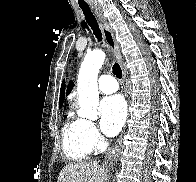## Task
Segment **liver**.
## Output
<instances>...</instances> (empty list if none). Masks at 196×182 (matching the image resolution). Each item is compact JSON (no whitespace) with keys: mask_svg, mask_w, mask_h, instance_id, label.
Wrapping results in <instances>:
<instances>
[{"mask_svg":"<svg viewBox=\"0 0 196 182\" xmlns=\"http://www.w3.org/2000/svg\"><path fill=\"white\" fill-rule=\"evenodd\" d=\"M106 175V166L97 161H81L63 167L57 182H104Z\"/></svg>","mask_w":196,"mask_h":182,"instance_id":"obj_1","label":"liver"}]
</instances>
